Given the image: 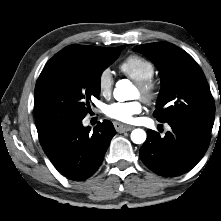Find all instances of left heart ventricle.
Here are the masks:
<instances>
[{
	"label": "left heart ventricle",
	"mask_w": 221,
	"mask_h": 221,
	"mask_svg": "<svg viewBox=\"0 0 221 221\" xmlns=\"http://www.w3.org/2000/svg\"><path fill=\"white\" fill-rule=\"evenodd\" d=\"M139 94V92H138V89L136 90V95H138Z\"/></svg>",
	"instance_id": "b2bd125f"
}]
</instances>
